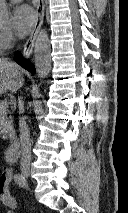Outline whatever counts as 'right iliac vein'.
Wrapping results in <instances>:
<instances>
[{
    "mask_svg": "<svg viewBox=\"0 0 128 213\" xmlns=\"http://www.w3.org/2000/svg\"><path fill=\"white\" fill-rule=\"evenodd\" d=\"M21 171H22V174H23L26 178L29 177V175H30V169H29V167L24 166V167L21 168Z\"/></svg>",
    "mask_w": 128,
    "mask_h": 213,
    "instance_id": "obj_1",
    "label": "right iliac vein"
}]
</instances>
